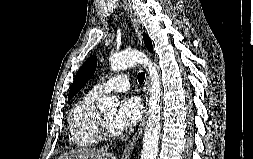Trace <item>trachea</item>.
Wrapping results in <instances>:
<instances>
[{
	"instance_id": "3493384b",
	"label": "trachea",
	"mask_w": 253,
	"mask_h": 159,
	"mask_svg": "<svg viewBox=\"0 0 253 159\" xmlns=\"http://www.w3.org/2000/svg\"><path fill=\"white\" fill-rule=\"evenodd\" d=\"M137 79H138L139 84L142 85L145 80V73H143V72L139 73L137 76Z\"/></svg>"
}]
</instances>
